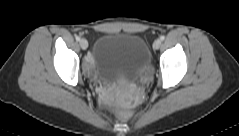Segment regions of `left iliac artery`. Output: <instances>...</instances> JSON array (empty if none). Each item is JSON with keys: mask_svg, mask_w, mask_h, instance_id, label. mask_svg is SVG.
Returning <instances> with one entry per match:
<instances>
[{"mask_svg": "<svg viewBox=\"0 0 239 136\" xmlns=\"http://www.w3.org/2000/svg\"><path fill=\"white\" fill-rule=\"evenodd\" d=\"M165 39V36H160V40L163 41Z\"/></svg>", "mask_w": 239, "mask_h": 136, "instance_id": "left-iliac-artery-1", "label": "left iliac artery"}]
</instances>
